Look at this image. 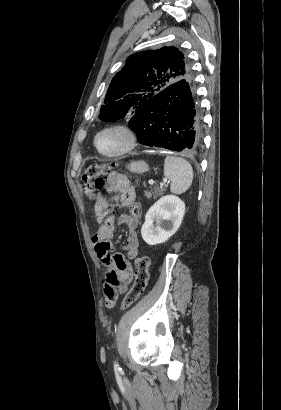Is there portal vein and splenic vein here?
Instances as JSON below:
<instances>
[{
	"instance_id": "portal-vein-and-splenic-vein-1",
	"label": "portal vein and splenic vein",
	"mask_w": 281,
	"mask_h": 410,
	"mask_svg": "<svg viewBox=\"0 0 281 410\" xmlns=\"http://www.w3.org/2000/svg\"><path fill=\"white\" fill-rule=\"evenodd\" d=\"M148 182H149L150 185H153V184H154V181H153V180H149Z\"/></svg>"
}]
</instances>
